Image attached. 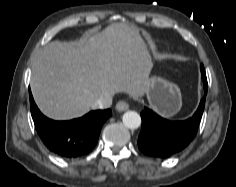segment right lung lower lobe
<instances>
[{
	"label": "right lung lower lobe",
	"mask_w": 236,
	"mask_h": 187,
	"mask_svg": "<svg viewBox=\"0 0 236 187\" xmlns=\"http://www.w3.org/2000/svg\"><path fill=\"white\" fill-rule=\"evenodd\" d=\"M31 115L35 128L47 148L65 159L88 154L97 144L101 127L112 115L111 109L91 111L70 121H54L37 108L29 91Z\"/></svg>",
	"instance_id": "right-lung-lower-lobe-1"
}]
</instances>
